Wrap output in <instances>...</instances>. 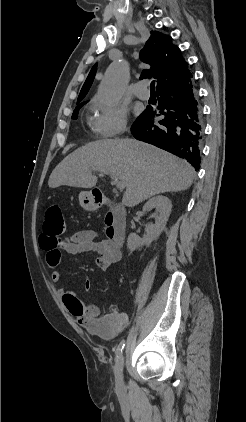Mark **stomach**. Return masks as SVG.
Returning <instances> with one entry per match:
<instances>
[{"instance_id":"0dacf381","label":"stomach","mask_w":246,"mask_h":422,"mask_svg":"<svg viewBox=\"0 0 246 422\" xmlns=\"http://www.w3.org/2000/svg\"><path fill=\"white\" fill-rule=\"evenodd\" d=\"M79 202L82 208H84L85 210H93L97 206L95 197L93 196L91 191H82L79 194Z\"/></svg>"}]
</instances>
